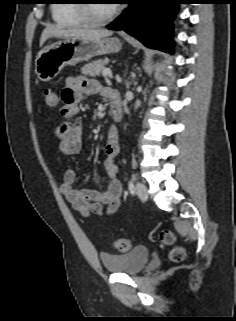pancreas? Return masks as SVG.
Instances as JSON below:
<instances>
[{"instance_id": "pancreas-1", "label": "pancreas", "mask_w": 236, "mask_h": 321, "mask_svg": "<svg viewBox=\"0 0 236 321\" xmlns=\"http://www.w3.org/2000/svg\"><path fill=\"white\" fill-rule=\"evenodd\" d=\"M107 63V58L95 60L91 63L86 64L84 67H82L81 70L83 74L89 75L91 77H96L105 69Z\"/></svg>"}]
</instances>
